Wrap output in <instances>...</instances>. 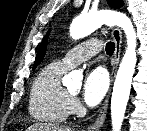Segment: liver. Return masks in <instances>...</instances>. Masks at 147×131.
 <instances>
[{"mask_svg": "<svg viewBox=\"0 0 147 131\" xmlns=\"http://www.w3.org/2000/svg\"><path fill=\"white\" fill-rule=\"evenodd\" d=\"M27 131H74V129L49 123H35L28 127Z\"/></svg>", "mask_w": 147, "mask_h": 131, "instance_id": "6515ba94", "label": "liver"}]
</instances>
